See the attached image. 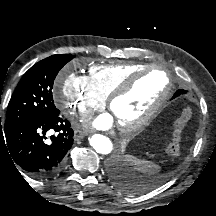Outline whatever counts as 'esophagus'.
I'll return each mask as SVG.
<instances>
[{"mask_svg": "<svg viewBox=\"0 0 216 216\" xmlns=\"http://www.w3.org/2000/svg\"><path fill=\"white\" fill-rule=\"evenodd\" d=\"M86 134H87L86 131H83V130H80V129H76L74 131V137L76 139H82Z\"/></svg>", "mask_w": 216, "mask_h": 216, "instance_id": "esophagus-1", "label": "esophagus"}]
</instances>
